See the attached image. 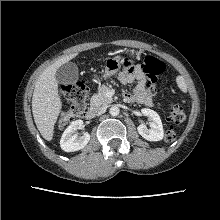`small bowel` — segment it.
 Returning a JSON list of instances; mask_svg holds the SVG:
<instances>
[{"mask_svg": "<svg viewBox=\"0 0 220 220\" xmlns=\"http://www.w3.org/2000/svg\"><path fill=\"white\" fill-rule=\"evenodd\" d=\"M118 79L122 84H130L136 81L134 93H124L123 98L128 102H137L147 106L153 104L154 88L146 80L144 73L139 67L129 66L120 72Z\"/></svg>", "mask_w": 220, "mask_h": 220, "instance_id": "small-bowel-1", "label": "small bowel"}]
</instances>
